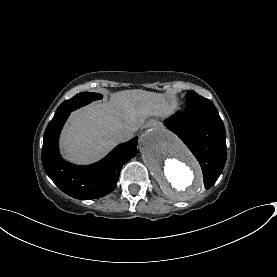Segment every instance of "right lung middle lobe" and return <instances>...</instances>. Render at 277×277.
Masks as SVG:
<instances>
[{"mask_svg":"<svg viewBox=\"0 0 277 277\" xmlns=\"http://www.w3.org/2000/svg\"><path fill=\"white\" fill-rule=\"evenodd\" d=\"M102 97L103 96L99 93L81 92L75 95L70 100L64 101L56 110V113L53 118L60 116L64 113L71 112L92 102L93 100L101 99Z\"/></svg>","mask_w":277,"mask_h":277,"instance_id":"1","label":"right lung middle lobe"}]
</instances>
